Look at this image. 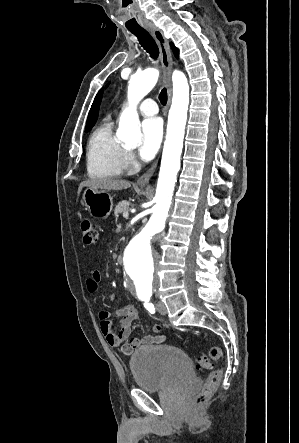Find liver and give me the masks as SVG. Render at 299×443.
Masks as SVG:
<instances>
[{
    "mask_svg": "<svg viewBox=\"0 0 299 443\" xmlns=\"http://www.w3.org/2000/svg\"><path fill=\"white\" fill-rule=\"evenodd\" d=\"M131 186L130 182L126 180H118V179H110V178H103V179H92L82 182L79 185L78 188V195L82 191L84 187H91L94 189H101V190H123L127 189Z\"/></svg>",
    "mask_w": 299,
    "mask_h": 443,
    "instance_id": "liver-1",
    "label": "liver"
}]
</instances>
